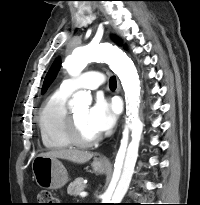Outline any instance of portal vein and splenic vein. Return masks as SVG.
<instances>
[{"instance_id":"18ae733b","label":"portal vein and splenic vein","mask_w":200,"mask_h":205,"mask_svg":"<svg viewBox=\"0 0 200 205\" xmlns=\"http://www.w3.org/2000/svg\"><path fill=\"white\" fill-rule=\"evenodd\" d=\"M87 195H88V193L85 192V191H82V192L79 193L80 197H86Z\"/></svg>"}]
</instances>
